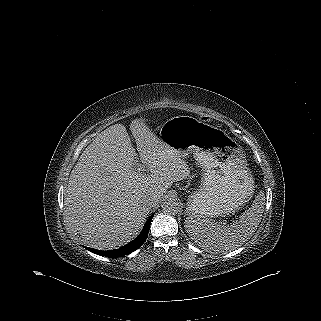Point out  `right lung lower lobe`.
Returning <instances> with one entry per match:
<instances>
[{"instance_id":"1","label":"right lung lower lobe","mask_w":321,"mask_h":321,"mask_svg":"<svg viewBox=\"0 0 321 321\" xmlns=\"http://www.w3.org/2000/svg\"><path fill=\"white\" fill-rule=\"evenodd\" d=\"M153 216L154 215L150 216L149 219L146 221L144 228H143L142 232L140 233V235L137 238H135L133 241H131L130 243L126 244L123 247H120V248L114 249V250H109V251L95 250V249H92L89 247H86V249L91 251L92 253L97 254V255H101V256H105V257H109V258L121 257L124 255L130 254V253L134 252L135 250H137L139 247H141L142 244L146 241Z\"/></svg>"}]
</instances>
